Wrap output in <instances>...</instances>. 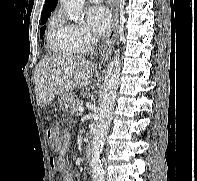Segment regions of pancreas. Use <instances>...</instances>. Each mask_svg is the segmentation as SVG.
I'll return each mask as SVG.
<instances>
[{
	"instance_id": "1",
	"label": "pancreas",
	"mask_w": 197,
	"mask_h": 181,
	"mask_svg": "<svg viewBox=\"0 0 197 181\" xmlns=\"http://www.w3.org/2000/svg\"><path fill=\"white\" fill-rule=\"evenodd\" d=\"M83 105V101L81 99H74L70 105V112L74 115L78 114V109Z\"/></svg>"
}]
</instances>
